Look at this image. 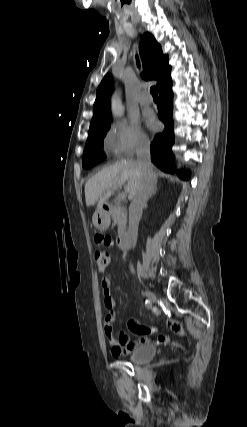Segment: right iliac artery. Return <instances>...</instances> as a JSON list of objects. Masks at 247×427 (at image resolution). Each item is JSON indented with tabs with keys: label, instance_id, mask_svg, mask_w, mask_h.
I'll return each mask as SVG.
<instances>
[{
	"label": "right iliac artery",
	"instance_id": "right-iliac-artery-1",
	"mask_svg": "<svg viewBox=\"0 0 247 427\" xmlns=\"http://www.w3.org/2000/svg\"><path fill=\"white\" fill-rule=\"evenodd\" d=\"M145 306H146L147 308H150V307H151V303H150V301L146 300V301H145Z\"/></svg>",
	"mask_w": 247,
	"mask_h": 427
}]
</instances>
